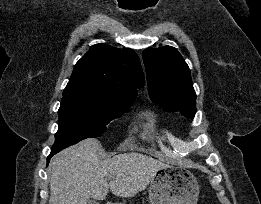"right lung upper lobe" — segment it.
Returning <instances> with one entry per match:
<instances>
[{
  "label": "right lung upper lobe",
  "instance_id": "1",
  "mask_svg": "<svg viewBox=\"0 0 261 204\" xmlns=\"http://www.w3.org/2000/svg\"><path fill=\"white\" fill-rule=\"evenodd\" d=\"M144 82L133 50L96 44L74 66L63 96L88 94L104 103L134 102Z\"/></svg>",
  "mask_w": 261,
  "mask_h": 204
}]
</instances>
